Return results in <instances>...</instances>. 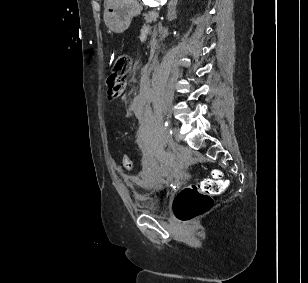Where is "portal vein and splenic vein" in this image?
Listing matches in <instances>:
<instances>
[{
    "mask_svg": "<svg viewBox=\"0 0 308 283\" xmlns=\"http://www.w3.org/2000/svg\"><path fill=\"white\" fill-rule=\"evenodd\" d=\"M155 16L158 17L159 13L158 12H154Z\"/></svg>",
    "mask_w": 308,
    "mask_h": 283,
    "instance_id": "obj_1",
    "label": "portal vein and splenic vein"
}]
</instances>
